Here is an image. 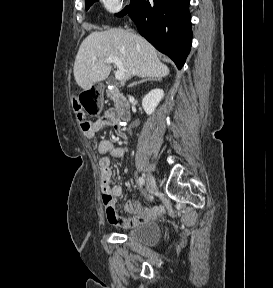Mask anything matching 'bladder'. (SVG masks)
Wrapping results in <instances>:
<instances>
[{
    "instance_id": "obj_1",
    "label": "bladder",
    "mask_w": 273,
    "mask_h": 288,
    "mask_svg": "<svg viewBox=\"0 0 273 288\" xmlns=\"http://www.w3.org/2000/svg\"><path fill=\"white\" fill-rule=\"evenodd\" d=\"M126 237L141 246H155L161 239V231L155 223L140 224L126 233Z\"/></svg>"
}]
</instances>
